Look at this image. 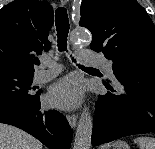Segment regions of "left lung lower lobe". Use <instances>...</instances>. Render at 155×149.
I'll return each instance as SVG.
<instances>
[{
  "label": "left lung lower lobe",
  "instance_id": "1",
  "mask_svg": "<svg viewBox=\"0 0 155 149\" xmlns=\"http://www.w3.org/2000/svg\"><path fill=\"white\" fill-rule=\"evenodd\" d=\"M115 76L125 87V93L99 96L95 104L93 146L133 134L155 133V66H125Z\"/></svg>",
  "mask_w": 155,
  "mask_h": 149
}]
</instances>
